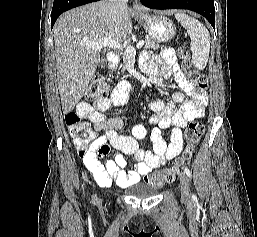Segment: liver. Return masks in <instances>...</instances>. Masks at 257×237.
Segmentation results:
<instances>
[{"label": "liver", "mask_w": 257, "mask_h": 237, "mask_svg": "<svg viewBox=\"0 0 257 237\" xmlns=\"http://www.w3.org/2000/svg\"><path fill=\"white\" fill-rule=\"evenodd\" d=\"M53 32L58 89L67 114L82 98L100 62L99 51L84 42L107 38L122 43L132 32V21L127 8L99 1L62 14Z\"/></svg>", "instance_id": "6515ba94"}]
</instances>
